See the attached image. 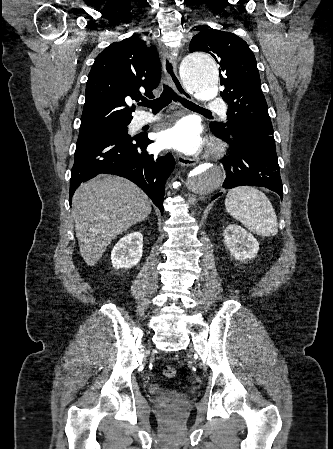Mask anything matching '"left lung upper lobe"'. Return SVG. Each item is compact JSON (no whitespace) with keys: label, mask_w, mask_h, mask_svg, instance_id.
<instances>
[{"label":"left lung upper lobe","mask_w":333,"mask_h":449,"mask_svg":"<svg viewBox=\"0 0 333 449\" xmlns=\"http://www.w3.org/2000/svg\"><path fill=\"white\" fill-rule=\"evenodd\" d=\"M189 50L207 52L220 65V82L225 87L220 94L229 106L228 122L211 123V130L228 137L253 136L275 148L256 59L247 43L233 33L205 27L192 38Z\"/></svg>","instance_id":"1"}]
</instances>
